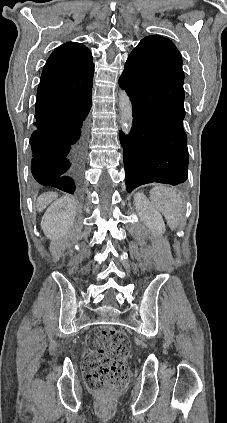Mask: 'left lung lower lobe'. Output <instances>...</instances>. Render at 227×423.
Listing matches in <instances>:
<instances>
[{
    "instance_id": "1",
    "label": "left lung lower lobe",
    "mask_w": 227,
    "mask_h": 423,
    "mask_svg": "<svg viewBox=\"0 0 227 423\" xmlns=\"http://www.w3.org/2000/svg\"><path fill=\"white\" fill-rule=\"evenodd\" d=\"M132 102L133 124L128 136L120 131L128 192L152 182L178 185L188 176L185 112L168 113L156 108L149 90L119 79Z\"/></svg>"
}]
</instances>
